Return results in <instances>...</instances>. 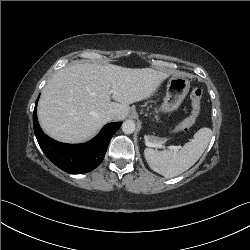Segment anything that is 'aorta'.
<instances>
[{
  "mask_svg": "<svg viewBox=\"0 0 250 250\" xmlns=\"http://www.w3.org/2000/svg\"><path fill=\"white\" fill-rule=\"evenodd\" d=\"M122 131L125 134H132L135 131V122L133 120H127L122 124Z\"/></svg>",
  "mask_w": 250,
  "mask_h": 250,
  "instance_id": "obj_1",
  "label": "aorta"
}]
</instances>
